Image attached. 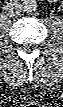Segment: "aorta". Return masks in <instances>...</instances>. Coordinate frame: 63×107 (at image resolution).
I'll return each mask as SVG.
<instances>
[{
  "label": "aorta",
  "instance_id": "762f6f07",
  "mask_svg": "<svg viewBox=\"0 0 63 107\" xmlns=\"http://www.w3.org/2000/svg\"><path fill=\"white\" fill-rule=\"evenodd\" d=\"M38 5L35 0H24L23 10L27 13H32L37 9Z\"/></svg>",
  "mask_w": 63,
  "mask_h": 107
}]
</instances>
